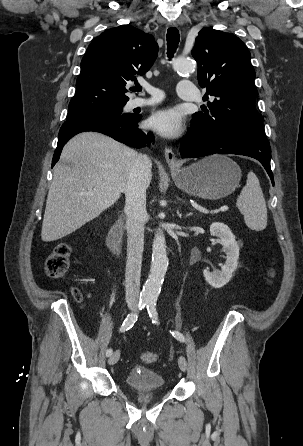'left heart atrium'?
<instances>
[{"label":"left heart atrium","instance_id":"left-heart-atrium-1","mask_svg":"<svg viewBox=\"0 0 303 446\" xmlns=\"http://www.w3.org/2000/svg\"><path fill=\"white\" fill-rule=\"evenodd\" d=\"M148 124L153 130L169 138L179 136L184 128L182 114L175 108L155 112L149 118Z\"/></svg>","mask_w":303,"mask_h":446}]
</instances>
